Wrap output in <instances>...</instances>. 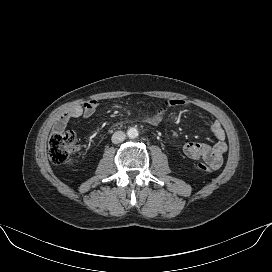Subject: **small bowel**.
Returning a JSON list of instances; mask_svg holds the SVG:
<instances>
[{"mask_svg": "<svg viewBox=\"0 0 272 272\" xmlns=\"http://www.w3.org/2000/svg\"><path fill=\"white\" fill-rule=\"evenodd\" d=\"M187 102L181 99H169L163 105L158 107L153 113L145 117V121L151 125L158 124L168 108L186 107ZM98 102L89 100L82 105H77L61 115L54 124V130L63 132L68 123L73 119L89 118L97 110ZM210 130L217 140L214 145H207L197 142H189L183 146L184 154L192 160H203L212 169L217 170L223 164V157L227 151L225 142L226 134L219 121H213Z\"/></svg>", "mask_w": 272, "mask_h": 272, "instance_id": "small-bowel-1", "label": "small bowel"}]
</instances>
